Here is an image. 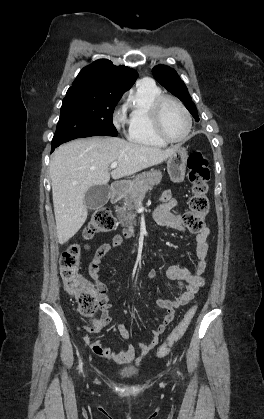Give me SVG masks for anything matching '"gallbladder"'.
Returning <instances> with one entry per match:
<instances>
[{
  "mask_svg": "<svg viewBox=\"0 0 264 419\" xmlns=\"http://www.w3.org/2000/svg\"><path fill=\"white\" fill-rule=\"evenodd\" d=\"M109 197L110 187L108 185H95L86 192L84 203L89 209H98L108 202Z\"/></svg>",
  "mask_w": 264,
  "mask_h": 419,
  "instance_id": "gallbladder-1",
  "label": "gallbladder"
}]
</instances>
